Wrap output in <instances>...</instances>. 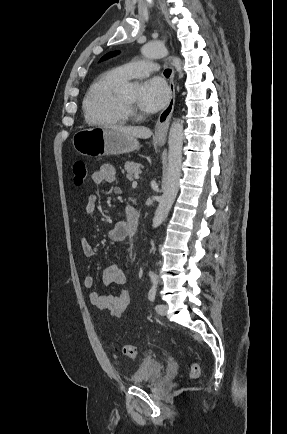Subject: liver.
I'll return each instance as SVG.
<instances>
[{
  "label": "liver",
  "mask_w": 287,
  "mask_h": 434,
  "mask_svg": "<svg viewBox=\"0 0 287 434\" xmlns=\"http://www.w3.org/2000/svg\"><path fill=\"white\" fill-rule=\"evenodd\" d=\"M109 128L119 133H122L124 135L135 137V138L147 139L152 135L151 130L146 127L112 125L109 126Z\"/></svg>",
  "instance_id": "obj_1"
}]
</instances>
